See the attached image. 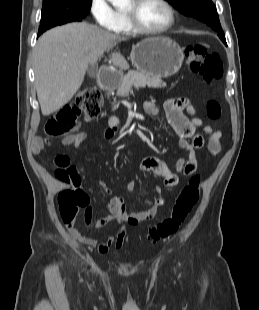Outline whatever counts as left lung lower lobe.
I'll list each match as a JSON object with an SVG mask.
<instances>
[{
	"mask_svg": "<svg viewBox=\"0 0 259 310\" xmlns=\"http://www.w3.org/2000/svg\"><path fill=\"white\" fill-rule=\"evenodd\" d=\"M220 39L223 41L224 44H226V39L225 37H220ZM227 45V44H226Z\"/></svg>",
	"mask_w": 259,
	"mask_h": 310,
	"instance_id": "1",
	"label": "left lung lower lobe"
}]
</instances>
